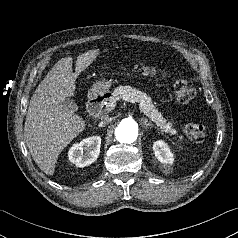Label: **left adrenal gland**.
I'll return each instance as SVG.
<instances>
[{
	"label": "left adrenal gland",
	"instance_id": "a2214340",
	"mask_svg": "<svg viewBox=\"0 0 238 238\" xmlns=\"http://www.w3.org/2000/svg\"><path fill=\"white\" fill-rule=\"evenodd\" d=\"M142 121H143V125L146 129H148L150 126L154 127V125L151 122H148V120L146 118H143Z\"/></svg>",
	"mask_w": 238,
	"mask_h": 238
}]
</instances>
